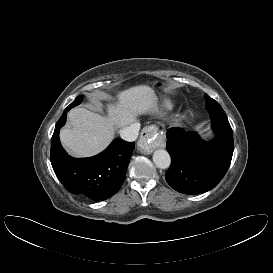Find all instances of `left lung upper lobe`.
Returning <instances> with one entry per match:
<instances>
[{
  "label": "left lung upper lobe",
  "mask_w": 273,
  "mask_h": 273,
  "mask_svg": "<svg viewBox=\"0 0 273 273\" xmlns=\"http://www.w3.org/2000/svg\"><path fill=\"white\" fill-rule=\"evenodd\" d=\"M205 97V106L210 115L216 114V115H226L222 107L219 105L217 101L210 98L209 96Z\"/></svg>",
  "instance_id": "left-lung-upper-lobe-1"
}]
</instances>
